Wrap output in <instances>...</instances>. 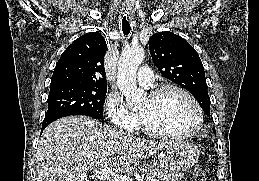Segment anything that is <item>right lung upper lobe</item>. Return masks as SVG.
Masks as SVG:
<instances>
[{
    "label": "right lung upper lobe",
    "mask_w": 259,
    "mask_h": 181,
    "mask_svg": "<svg viewBox=\"0 0 259 181\" xmlns=\"http://www.w3.org/2000/svg\"><path fill=\"white\" fill-rule=\"evenodd\" d=\"M105 39L99 32L80 36L62 53L54 69L50 87L79 85L107 87L104 56Z\"/></svg>",
    "instance_id": "cb5924a9"
}]
</instances>
